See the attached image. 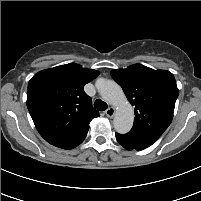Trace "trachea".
I'll return each mask as SVG.
<instances>
[{"instance_id":"3493384b","label":"trachea","mask_w":201,"mask_h":201,"mask_svg":"<svg viewBox=\"0 0 201 201\" xmlns=\"http://www.w3.org/2000/svg\"><path fill=\"white\" fill-rule=\"evenodd\" d=\"M94 107L99 111H105L108 108V105L101 99H97L94 102Z\"/></svg>"}]
</instances>
